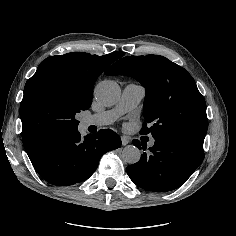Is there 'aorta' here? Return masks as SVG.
<instances>
[{"mask_svg": "<svg viewBox=\"0 0 236 236\" xmlns=\"http://www.w3.org/2000/svg\"><path fill=\"white\" fill-rule=\"evenodd\" d=\"M95 98L105 106H111L118 102L121 90L119 85L111 80L100 82L94 90ZM140 150L134 145H127L122 151V159L128 164H135L140 160Z\"/></svg>", "mask_w": 236, "mask_h": 236, "instance_id": "aorta-1", "label": "aorta"}]
</instances>
